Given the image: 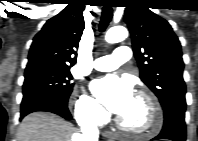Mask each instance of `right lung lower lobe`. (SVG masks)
Returning <instances> with one entry per match:
<instances>
[{
    "mask_svg": "<svg viewBox=\"0 0 198 141\" xmlns=\"http://www.w3.org/2000/svg\"><path fill=\"white\" fill-rule=\"evenodd\" d=\"M36 111H46L55 113L70 120L71 114L67 107V101H63L51 95L33 93L23 96L21 103V117Z\"/></svg>",
    "mask_w": 198,
    "mask_h": 141,
    "instance_id": "right-lung-lower-lobe-1",
    "label": "right lung lower lobe"
}]
</instances>
